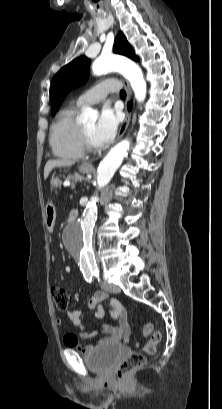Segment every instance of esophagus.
<instances>
[{"mask_svg":"<svg viewBox=\"0 0 222 409\" xmlns=\"http://www.w3.org/2000/svg\"><path fill=\"white\" fill-rule=\"evenodd\" d=\"M121 81H122V83L124 85V88L126 90V93H127L126 107H125L126 117H125L124 121L122 122V124H121V126L119 128L118 135H117L115 143H117L123 137V135L125 134L128 126H129V123H130V113L128 111L127 104L131 99L132 91H131V87H130L129 83L125 79L121 78ZM92 162H93V160L85 161L84 165L86 167H92Z\"/></svg>","mask_w":222,"mask_h":409,"instance_id":"34e87169","label":"esophagus"}]
</instances>
